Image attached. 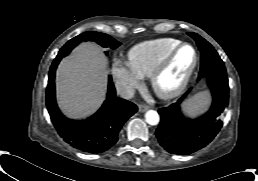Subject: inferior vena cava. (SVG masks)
I'll use <instances>...</instances> for the list:
<instances>
[{
    "label": "inferior vena cava",
    "mask_w": 258,
    "mask_h": 181,
    "mask_svg": "<svg viewBox=\"0 0 258 181\" xmlns=\"http://www.w3.org/2000/svg\"><path fill=\"white\" fill-rule=\"evenodd\" d=\"M117 94L123 99H131L134 97L135 89L132 85L118 82L116 83Z\"/></svg>",
    "instance_id": "602c4592"
}]
</instances>
